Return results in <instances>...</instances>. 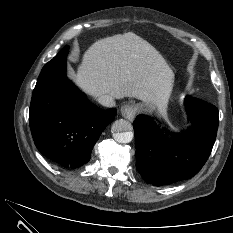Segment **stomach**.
<instances>
[{"instance_id": "0dacf381", "label": "stomach", "mask_w": 233, "mask_h": 233, "mask_svg": "<svg viewBox=\"0 0 233 233\" xmlns=\"http://www.w3.org/2000/svg\"><path fill=\"white\" fill-rule=\"evenodd\" d=\"M141 109L145 110V111H153L156 108V105L153 103H145L144 105L140 106Z\"/></svg>"}]
</instances>
